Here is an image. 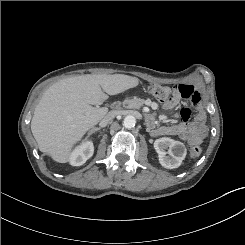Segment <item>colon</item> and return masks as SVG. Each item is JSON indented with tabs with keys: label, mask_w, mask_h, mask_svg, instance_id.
Listing matches in <instances>:
<instances>
[{
	"label": "colon",
	"mask_w": 245,
	"mask_h": 245,
	"mask_svg": "<svg viewBox=\"0 0 245 245\" xmlns=\"http://www.w3.org/2000/svg\"><path fill=\"white\" fill-rule=\"evenodd\" d=\"M150 93L161 102H165L170 98L171 89L167 86L162 85H151L149 86ZM201 148L199 146H193L190 149V157L198 158L201 155Z\"/></svg>",
	"instance_id": "1"
}]
</instances>
